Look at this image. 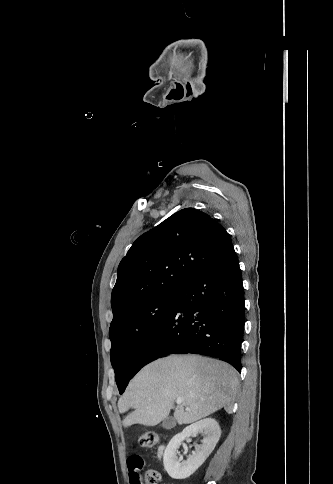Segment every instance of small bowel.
I'll use <instances>...</instances> for the list:
<instances>
[{
	"label": "small bowel",
	"instance_id": "c3829d8e",
	"mask_svg": "<svg viewBox=\"0 0 333 484\" xmlns=\"http://www.w3.org/2000/svg\"><path fill=\"white\" fill-rule=\"evenodd\" d=\"M130 484H141V471L144 468V461L139 455H131L127 460Z\"/></svg>",
	"mask_w": 333,
	"mask_h": 484
}]
</instances>
